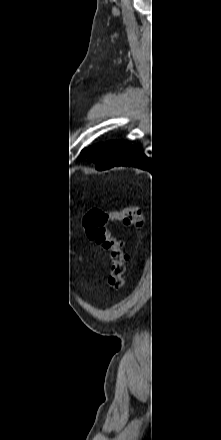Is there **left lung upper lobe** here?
Here are the masks:
<instances>
[{"mask_svg": "<svg viewBox=\"0 0 221 440\" xmlns=\"http://www.w3.org/2000/svg\"><path fill=\"white\" fill-rule=\"evenodd\" d=\"M130 145V142L110 141L84 149L82 153L95 163L98 170H104L121 160Z\"/></svg>", "mask_w": 221, "mask_h": 440, "instance_id": "left-lung-upper-lobe-1", "label": "left lung upper lobe"}]
</instances>
